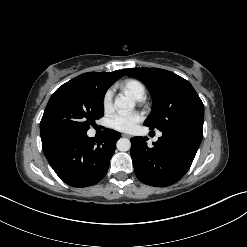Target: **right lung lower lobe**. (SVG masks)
<instances>
[{
	"label": "right lung lower lobe",
	"mask_w": 247,
	"mask_h": 247,
	"mask_svg": "<svg viewBox=\"0 0 247 247\" xmlns=\"http://www.w3.org/2000/svg\"><path fill=\"white\" fill-rule=\"evenodd\" d=\"M120 133L106 129L98 138L87 134L42 140L43 152L59 178L74 187L98 183L106 175Z\"/></svg>",
	"instance_id": "obj_1"
}]
</instances>
